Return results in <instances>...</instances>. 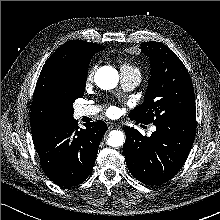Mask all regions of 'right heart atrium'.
<instances>
[{"label":"right heart atrium","instance_id":"1","mask_svg":"<svg viewBox=\"0 0 220 220\" xmlns=\"http://www.w3.org/2000/svg\"><path fill=\"white\" fill-rule=\"evenodd\" d=\"M95 68H91L86 75V83H90L93 81Z\"/></svg>","mask_w":220,"mask_h":220}]
</instances>
